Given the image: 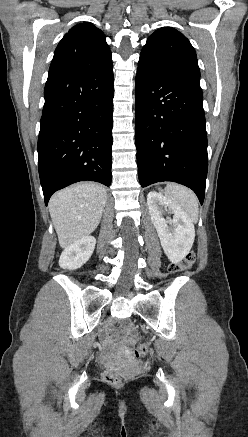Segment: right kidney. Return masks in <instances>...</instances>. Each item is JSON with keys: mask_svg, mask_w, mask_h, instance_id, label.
Returning a JSON list of instances; mask_svg holds the SVG:
<instances>
[{"mask_svg": "<svg viewBox=\"0 0 248 437\" xmlns=\"http://www.w3.org/2000/svg\"><path fill=\"white\" fill-rule=\"evenodd\" d=\"M95 244L93 236H86L66 247L59 259L60 267L69 270L80 268L91 257Z\"/></svg>", "mask_w": 248, "mask_h": 437, "instance_id": "obj_1", "label": "right kidney"}]
</instances>
